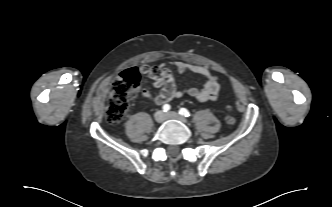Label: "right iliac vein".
Returning a JSON list of instances; mask_svg holds the SVG:
<instances>
[{
  "instance_id": "63e3f726",
  "label": "right iliac vein",
  "mask_w": 332,
  "mask_h": 207,
  "mask_svg": "<svg viewBox=\"0 0 332 207\" xmlns=\"http://www.w3.org/2000/svg\"><path fill=\"white\" fill-rule=\"evenodd\" d=\"M155 121L158 123H162L166 119V115L163 111H157L154 115Z\"/></svg>"
}]
</instances>
